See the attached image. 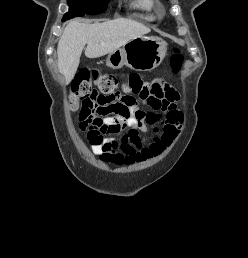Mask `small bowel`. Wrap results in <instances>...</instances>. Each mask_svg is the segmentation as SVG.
<instances>
[{
  "label": "small bowel",
  "mask_w": 248,
  "mask_h": 258,
  "mask_svg": "<svg viewBox=\"0 0 248 258\" xmlns=\"http://www.w3.org/2000/svg\"><path fill=\"white\" fill-rule=\"evenodd\" d=\"M152 86H155V91L146 88L140 96L149 107L148 111L138 107V99L124 96L120 99V105L128 111L130 109V119L117 116L105 121L108 125L121 123L117 129L110 131L118 133L126 130L127 134L121 140L107 138L91 142L93 152L102 162L119 166L143 162L162 155L173 144L183 122L175 103L178 94L160 80L153 82ZM80 122L82 130H85L88 121L84 110H81ZM148 126L152 130L151 138L147 137Z\"/></svg>",
  "instance_id": "c3829d8e"
}]
</instances>
